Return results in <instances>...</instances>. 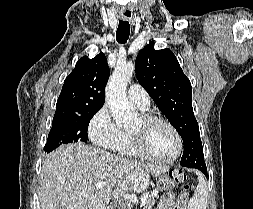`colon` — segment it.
I'll list each match as a JSON object with an SVG mask.
<instances>
[{
    "mask_svg": "<svg viewBox=\"0 0 253 209\" xmlns=\"http://www.w3.org/2000/svg\"><path fill=\"white\" fill-rule=\"evenodd\" d=\"M167 185L174 186L179 183H183L185 181V174L181 172L173 171L168 177ZM188 185H184L180 196L178 198V202L176 204V209H187V201H188Z\"/></svg>",
    "mask_w": 253,
    "mask_h": 209,
    "instance_id": "5ec220e1",
    "label": "colon"
}]
</instances>
